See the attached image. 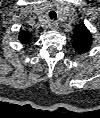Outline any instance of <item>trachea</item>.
<instances>
[{
  "mask_svg": "<svg viewBox=\"0 0 100 118\" xmlns=\"http://www.w3.org/2000/svg\"><path fill=\"white\" fill-rule=\"evenodd\" d=\"M49 17L51 18V19H56V17H57V15H56V12L55 11H50L49 12Z\"/></svg>",
  "mask_w": 100,
  "mask_h": 118,
  "instance_id": "obj_1",
  "label": "trachea"
}]
</instances>
